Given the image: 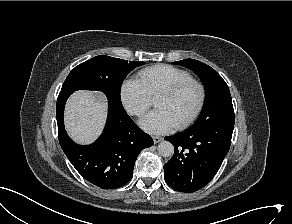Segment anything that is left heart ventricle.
Here are the masks:
<instances>
[{
	"instance_id": "left-heart-ventricle-1",
	"label": "left heart ventricle",
	"mask_w": 292,
	"mask_h": 224,
	"mask_svg": "<svg viewBox=\"0 0 292 224\" xmlns=\"http://www.w3.org/2000/svg\"><path fill=\"white\" fill-rule=\"evenodd\" d=\"M199 102V91L195 86H189L178 95L167 98L160 97L154 102L155 107L163 109L172 118L175 125L186 120L195 110Z\"/></svg>"
}]
</instances>
